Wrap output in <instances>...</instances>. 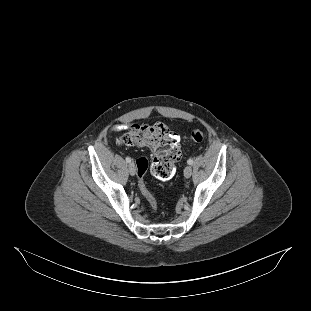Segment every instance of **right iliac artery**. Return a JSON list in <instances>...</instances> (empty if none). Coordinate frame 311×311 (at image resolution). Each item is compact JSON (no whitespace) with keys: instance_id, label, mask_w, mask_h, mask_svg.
Listing matches in <instances>:
<instances>
[{"instance_id":"obj_1","label":"right iliac artery","mask_w":311,"mask_h":311,"mask_svg":"<svg viewBox=\"0 0 311 311\" xmlns=\"http://www.w3.org/2000/svg\"><path fill=\"white\" fill-rule=\"evenodd\" d=\"M125 160H126L127 163H130V162H131V158H130V157H126Z\"/></svg>"}]
</instances>
